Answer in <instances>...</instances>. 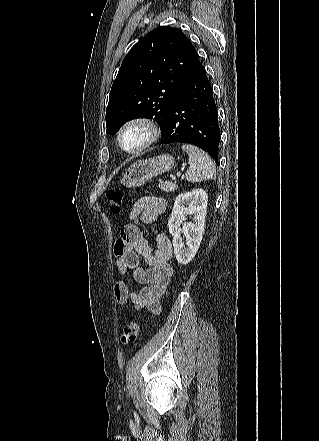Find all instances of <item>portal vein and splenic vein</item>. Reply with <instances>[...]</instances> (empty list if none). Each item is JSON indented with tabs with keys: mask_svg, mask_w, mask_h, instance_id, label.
I'll return each instance as SVG.
<instances>
[{
	"mask_svg": "<svg viewBox=\"0 0 319 441\" xmlns=\"http://www.w3.org/2000/svg\"><path fill=\"white\" fill-rule=\"evenodd\" d=\"M177 176L180 177L181 176V172H177Z\"/></svg>",
	"mask_w": 319,
	"mask_h": 441,
	"instance_id": "1",
	"label": "portal vein and splenic vein"
}]
</instances>
